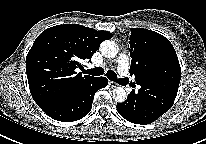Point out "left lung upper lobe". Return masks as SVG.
Wrapping results in <instances>:
<instances>
[{"label": "left lung upper lobe", "instance_id": "left-lung-upper-lobe-1", "mask_svg": "<svg viewBox=\"0 0 206 144\" xmlns=\"http://www.w3.org/2000/svg\"><path fill=\"white\" fill-rule=\"evenodd\" d=\"M130 74L149 95H177L181 67L175 49L163 35L143 28H132L130 35Z\"/></svg>", "mask_w": 206, "mask_h": 144}]
</instances>
